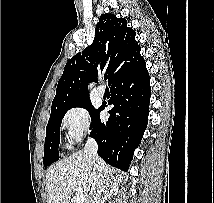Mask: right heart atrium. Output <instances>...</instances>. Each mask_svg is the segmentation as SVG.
<instances>
[{
  "label": "right heart atrium",
  "instance_id": "1",
  "mask_svg": "<svg viewBox=\"0 0 214 203\" xmlns=\"http://www.w3.org/2000/svg\"><path fill=\"white\" fill-rule=\"evenodd\" d=\"M62 127L72 142H79L88 133L91 121L89 112L84 106L68 109L62 117Z\"/></svg>",
  "mask_w": 214,
  "mask_h": 203
}]
</instances>
